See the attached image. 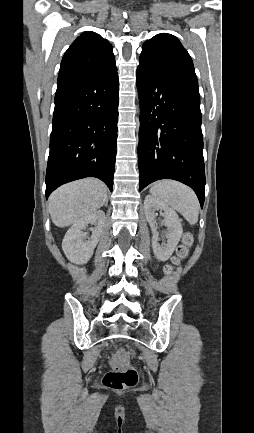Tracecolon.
Returning a JSON list of instances; mask_svg holds the SVG:
<instances>
[{
    "label": "colon",
    "instance_id": "5ec220e1",
    "mask_svg": "<svg viewBox=\"0 0 254 433\" xmlns=\"http://www.w3.org/2000/svg\"><path fill=\"white\" fill-rule=\"evenodd\" d=\"M194 243V236L187 232L183 235L180 245L177 247L176 255L172 258V264L165 266L164 272L166 275H171L174 270V265L180 264L188 258L191 247ZM138 381V373L136 369L130 366L126 361V354L121 352L112 361V369L108 371L103 378V383L106 387L113 390H124L134 387Z\"/></svg>",
    "mask_w": 254,
    "mask_h": 433
}]
</instances>
